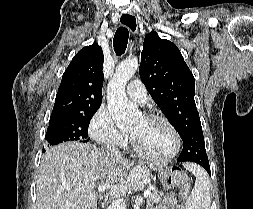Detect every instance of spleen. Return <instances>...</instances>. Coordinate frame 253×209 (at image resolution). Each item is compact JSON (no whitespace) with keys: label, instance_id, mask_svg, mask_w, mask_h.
I'll use <instances>...</instances> for the list:
<instances>
[{"label":"spleen","instance_id":"obj_1","mask_svg":"<svg viewBox=\"0 0 253 209\" xmlns=\"http://www.w3.org/2000/svg\"><path fill=\"white\" fill-rule=\"evenodd\" d=\"M196 177L194 188L185 203L186 209H210L211 186L207 173L196 164H185Z\"/></svg>","mask_w":253,"mask_h":209}]
</instances>
